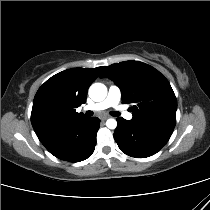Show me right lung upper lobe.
<instances>
[{
	"instance_id": "1",
	"label": "right lung upper lobe",
	"mask_w": 210,
	"mask_h": 210,
	"mask_svg": "<svg viewBox=\"0 0 210 210\" xmlns=\"http://www.w3.org/2000/svg\"><path fill=\"white\" fill-rule=\"evenodd\" d=\"M102 69H68L52 76L39 88L33 101L31 123L40 141L85 117L76 108L85 103L87 90Z\"/></svg>"
}]
</instances>
